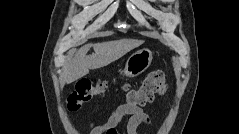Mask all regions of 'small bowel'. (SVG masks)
Returning <instances> with one entry per match:
<instances>
[{"label": "small bowel", "mask_w": 239, "mask_h": 134, "mask_svg": "<svg viewBox=\"0 0 239 134\" xmlns=\"http://www.w3.org/2000/svg\"><path fill=\"white\" fill-rule=\"evenodd\" d=\"M99 109L95 105L92 113L95 114ZM126 115H130V119L126 125L127 134H136V129L141 124L150 123V117L138 106L131 104H121L116 106L109 119L102 125H95L93 122L89 123V134H118L117 126L122 122Z\"/></svg>", "instance_id": "obj_1"}]
</instances>
